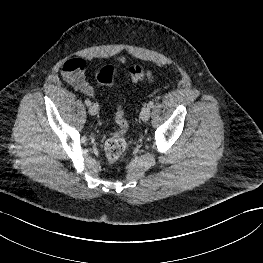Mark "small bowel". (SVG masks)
Returning <instances> with one entry per match:
<instances>
[{
	"label": "small bowel",
	"mask_w": 263,
	"mask_h": 263,
	"mask_svg": "<svg viewBox=\"0 0 263 263\" xmlns=\"http://www.w3.org/2000/svg\"><path fill=\"white\" fill-rule=\"evenodd\" d=\"M85 66L83 59L72 58L63 64L61 74L63 79L74 89L87 96H93L94 89L85 78Z\"/></svg>",
	"instance_id": "c3829d8e"
}]
</instances>
